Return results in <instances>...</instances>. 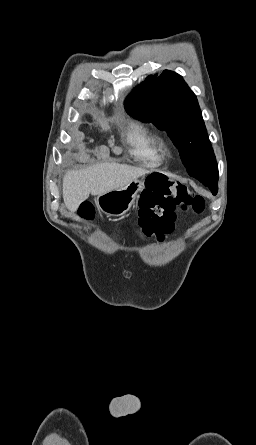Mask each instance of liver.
I'll return each instance as SVG.
<instances>
[{
  "label": "liver",
  "mask_w": 256,
  "mask_h": 445,
  "mask_svg": "<svg viewBox=\"0 0 256 445\" xmlns=\"http://www.w3.org/2000/svg\"><path fill=\"white\" fill-rule=\"evenodd\" d=\"M149 170L125 164L101 163L83 170L67 171L63 178V199L70 211H75L89 195H101L124 187Z\"/></svg>",
  "instance_id": "obj_1"
}]
</instances>
